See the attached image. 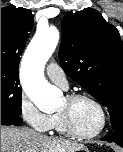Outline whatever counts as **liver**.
Segmentation results:
<instances>
[{"label": "liver", "mask_w": 123, "mask_h": 152, "mask_svg": "<svg viewBox=\"0 0 123 152\" xmlns=\"http://www.w3.org/2000/svg\"><path fill=\"white\" fill-rule=\"evenodd\" d=\"M82 144L48 137L26 127L1 126V152H77Z\"/></svg>", "instance_id": "liver-1"}]
</instances>
